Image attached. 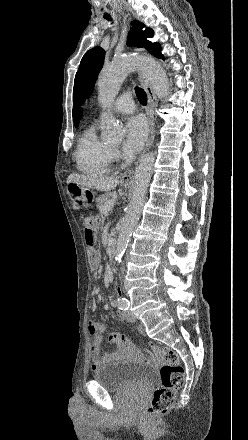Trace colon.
<instances>
[{
	"label": "colon",
	"instance_id": "obj_1",
	"mask_svg": "<svg viewBox=\"0 0 248 440\" xmlns=\"http://www.w3.org/2000/svg\"><path fill=\"white\" fill-rule=\"evenodd\" d=\"M95 222L96 219L92 216L84 218L85 239L90 246L95 242ZM89 259L91 266L95 268L98 265V257L92 250L89 252ZM153 348L163 354L164 363L160 368L161 386L154 391L146 412L149 417H158L165 415L172 407L177 391L184 381V368L177 353L172 349L157 344Z\"/></svg>",
	"mask_w": 248,
	"mask_h": 440
}]
</instances>
